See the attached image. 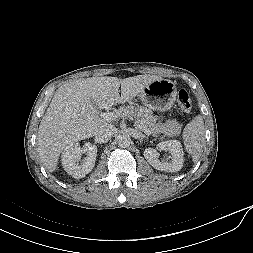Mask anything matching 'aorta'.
<instances>
[{"mask_svg": "<svg viewBox=\"0 0 253 253\" xmlns=\"http://www.w3.org/2000/svg\"><path fill=\"white\" fill-rule=\"evenodd\" d=\"M131 144V137L128 134H122L118 137V145L120 147H128Z\"/></svg>", "mask_w": 253, "mask_h": 253, "instance_id": "aorta-1", "label": "aorta"}]
</instances>
